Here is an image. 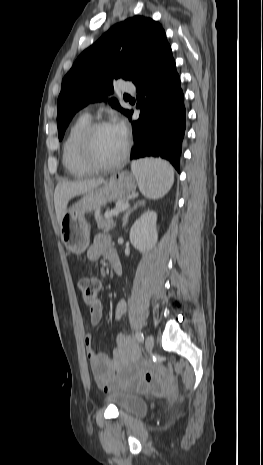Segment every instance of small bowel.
<instances>
[{"label": "small bowel", "instance_id": "c3829d8e", "mask_svg": "<svg viewBox=\"0 0 263 465\" xmlns=\"http://www.w3.org/2000/svg\"><path fill=\"white\" fill-rule=\"evenodd\" d=\"M110 236L98 234L87 250V258L91 262H97L102 257L109 260L115 253ZM127 311L125 300L120 299L115 306L114 317L119 322ZM90 323L98 325L103 318V306L99 300L89 307ZM117 347L113 355L94 348L93 336L87 333L84 338L86 352L90 367L98 386L105 392H111L120 388L136 391L150 390L161 393L168 385V376L160 369H150L137 365L138 348L134 341L123 332H117Z\"/></svg>", "mask_w": 263, "mask_h": 465}]
</instances>
